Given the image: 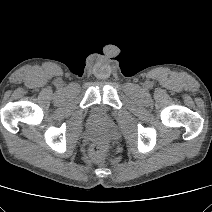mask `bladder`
I'll list each match as a JSON object with an SVG mask.
<instances>
[{"mask_svg": "<svg viewBox=\"0 0 212 212\" xmlns=\"http://www.w3.org/2000/svg\"><path fill=\"white\" fill-rule=\"evenodd\" d=\"M93 115L97 118H107L108 117V111L101 106H97L93 110Z\"/></svg>", "mask_w": 212, "mask_h": 212, "instance_id": "1", "label": "bladder"}]
</instances>
